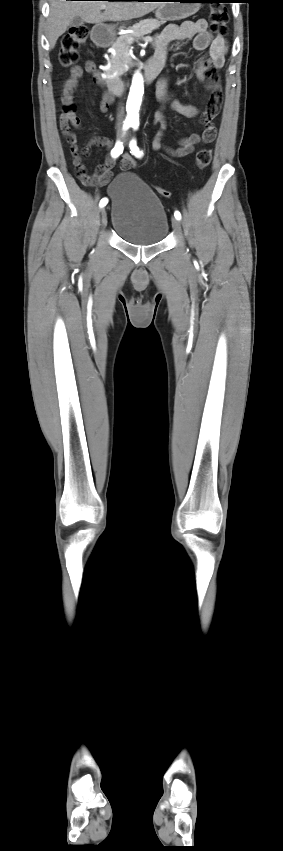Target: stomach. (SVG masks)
<instances>
[{"label":"stomach","mask_w":283,"mask_h":851,"mask_svg":"<svg viewBox=\"0 0 283 851\" xmlns=\"http://www.w3.org/2000/svg\"><path fill=\"white\" fill-rule=\"evenodd\" d=\"M199 0H174L162 4L155 12L156 18L161 21H177L195 14L200 8ZM95 38L102 42L110 43L115 38L114 29L103 25L94 28Z\"/></svg>","instance_id":"obj_1"}]
</instances>
